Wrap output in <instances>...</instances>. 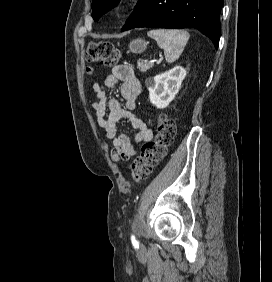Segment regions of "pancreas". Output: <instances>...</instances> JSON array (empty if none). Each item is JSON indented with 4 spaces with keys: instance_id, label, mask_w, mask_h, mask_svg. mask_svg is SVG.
Wrapping results in <instances>:
<instances>
[{
    "instance_id": "1",
    "label": "pancreas",
    "mask_w": 272,
    "mask_h": 282,
    "mask_svg": "<svg viewBox=\"0 0 272 282\" xmlns=\"http://www.w3.org/2000/svg\"><path fill=\"white\" fill-rule=\"evenodd\" d=\"M137 68L141 71V72H146L147 70H149L150 68L153 67V64L152 63H148V62H145L143 60H139L137 61Z\"/></svg>"
}]
</instances>
